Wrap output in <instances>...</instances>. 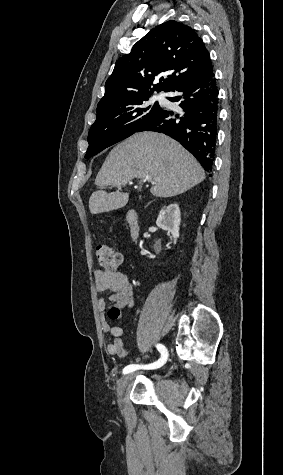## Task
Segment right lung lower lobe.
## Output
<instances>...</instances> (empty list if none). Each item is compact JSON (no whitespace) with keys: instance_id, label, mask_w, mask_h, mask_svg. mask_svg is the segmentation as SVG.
Returning <instances> with one entry per match:
<instances>
[{"instance_id":"right-lung-lower-lobe-1","label":"right lung lower lobe","mask_w":283,"mask_h":475,"mask_svg":"<svg viewBox=\"0 0 283 475\" xmlns=\"http://www.w3.org/2000/svg\"><path fill=\"white\" fill-rule=\"evenodd\" d=\"M170 91L178 95L167 99L177 102L180 110L160 108L137 132L155 131L174 138L197 158L206 171L211 172L219 111L213 70L180 82Z\"/></svg>"}]
</instances>
